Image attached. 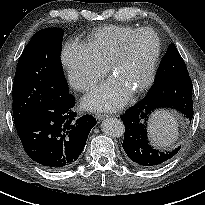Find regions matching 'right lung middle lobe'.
I'll use <instances>...</instances> for the list:
<instances>
[{"label": "right lung middle lobe", "mask_w": 205, "mask_h": 205, "mask_svg": "<svg viewBox=\"0 0 205 205\" xmlns=\"http://www.w3.org/2000/svg\"><path fill=\"white\" fill-rule=\"evenodd\" d=\"M64 30L35 33L18 61L13 83V116L18 125L37 107L69 92L60 54Z\"/></svg>", "instance_id": "obj_1"}]
</instances>
